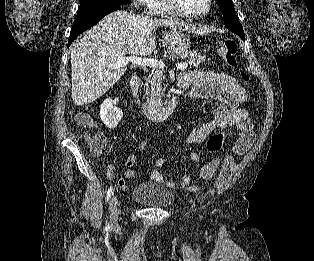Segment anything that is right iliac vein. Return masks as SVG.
Returning a JSON list of instances; mask_svg holds the SVG:
<instances>
[{
  "label": "right iliac vein",
  "instance_id": "right-iliac-vein-1",
  "mask_svg": "<svg viewBox=\"0 0 314 261\" xmlns=\"http://www.w3.org/2000/svg\"><path fill=\"white\" fill-rule=\"evenodd\" d=\"M118 200L116 196H112L110 203H109V211H110V218H111V223L114 224L117 221L118 218Z\"/></svg>",
  "mask_w": 314,
  "mask_h": 261
}]
</instances>
